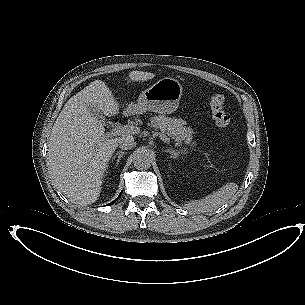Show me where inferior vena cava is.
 Listing matches in <instances>:
<instances>
[{
    "label": "inferior vena cava",
    "instance_id": "602c4592",
    "mask_svg": "<svg viewBox=\"0 0 305 305\" xmlns=\"http://www.w3.org/2000/svg\"><path fill=\"white\" fill-rule=\"evenodd\" d=\"M118 146L122 150H130L136 146L134 142V137L130 135L122 136L118 139Z\"/></svg>",
    "mask_w": 305,
    "mask_h": 305
}]
</instances>
